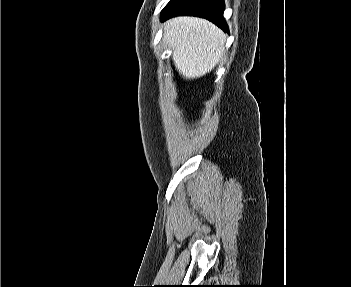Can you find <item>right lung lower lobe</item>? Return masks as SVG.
<instances>
[{"instance_id":"1","label":"right lung lower lobe","mask_w":351,"mask_h":287,"mask_svg":"<svg viewBox=\"0 0 351 287\" xmlns=\"http://www.w3.org/2000/svg\"><path fill=\"white\" fill-rule=\"evenodd\" d=\"M223 11V0H170L161 16L162 21L179 15L202 17L228 32Z\"/></svg>"}]
</instances>
